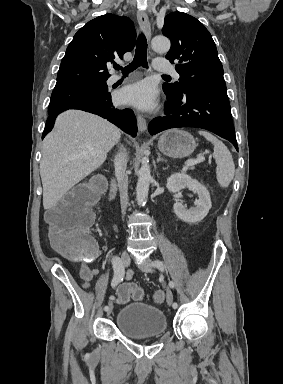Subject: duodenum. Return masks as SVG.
Listing matches in <instances>:
<instances>
[{"label": "duodenum", "instance_id": "obj_1", "mask_svg": "<svg viewBox=\"0 0 283 384\" xmlns=\"http://www.w3.org/2000/svg\"><path fill=\"white\" fill-rule=\"evenodd\" d=\"M115 197H116V185L113 184V185H111L110 191L108 194V202H109L110 206H112V204L115 200Z\"/></svg>", "mask_w": 283, "mask_h": 384}]
</instances>
